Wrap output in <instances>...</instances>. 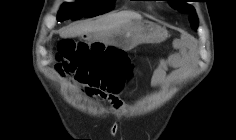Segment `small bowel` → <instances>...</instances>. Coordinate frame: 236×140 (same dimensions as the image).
I'll return each mask as SVG.
<instances>
[{"label": "small bowel", "instance_id": "obj_1", "mask_svg": "<svg viewBox=\"0 0 236 140\" xmlns=\"http://www.w3.org/2000/svg\"><path fill=\"white\" fill-rule=\"evenodd\" d=\"M175 52L163 58L154 69L151 84L158 88H169L183 78L191 65L184 43L181 40L174 42ZM115 108H121L122 102L115 98L111 101Z\"/></svg>", "mask_w": 236, "mask_h": 140}]
</instances>
